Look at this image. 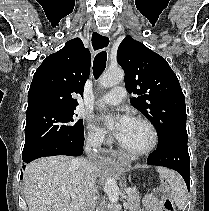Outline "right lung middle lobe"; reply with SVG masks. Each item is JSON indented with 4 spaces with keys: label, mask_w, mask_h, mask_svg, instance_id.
<instances>
[{
    "label": "right lung middle lobe",
    "mask_w": 209,
    "mask_h": 211,
    "mask_svg": "<svg viewBox=\"0 0 209 211\" xmlns=\"http://www.w3.org/2000/svg\"><path fill=\"white\" fill-rule=\"evenodd\" d=\"M74 110L42 109L27 113L22 157L53 142L82 139L83 120L76 121Z\"/></svg>",
    "instance_id": "dd1d6c3e"
}]
</instances>
